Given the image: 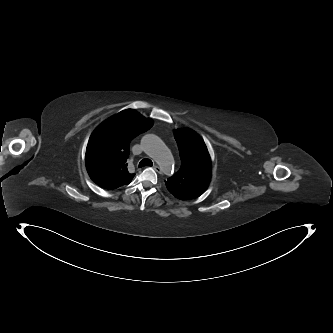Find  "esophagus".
<instances>
[{
  "mask_svg": "<svg viewBox=\"0 0 333 333\" xmlns=\"http://www.w3.org/2000/svg\"><path fill=\"white\" fill-rule=\"evenodd\" d=\"M153 168H154V170H155L156 172L161 173V169H160L159 166L154 165Z\"/></svg>",
  "mask_w": 333,
  "mask_h": 333,
  "instance_id": "1",
  "label": "esophagus"
}]
</instances>
